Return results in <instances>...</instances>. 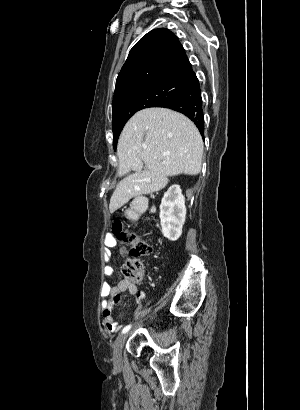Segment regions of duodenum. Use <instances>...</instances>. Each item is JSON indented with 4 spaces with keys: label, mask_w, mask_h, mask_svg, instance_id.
<instances>
[{
    "label": "duodenum",
    "mask_w": 300,
    "mask_h": 410,
    "mask_svg": "<svg viewBox=\"0 0 300 410\" xmlns=\"http://www.w3.org/2000/svg\"><path fill=\"white\" fill-rule=\"evenodd\" d=\"M146 209V202L144 200H136L131 209V215L133 219H137Z\"/></svg>",
    "instance_id": "410a0bca"
}]
</instances>
